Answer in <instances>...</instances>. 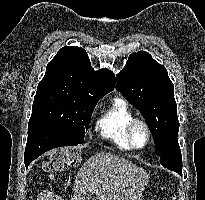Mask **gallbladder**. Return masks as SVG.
Here are the masks:
<instances>
[{"mask_svg":"<svg viewBox=\"0 0 205 200\" xmlns=\"http://www.w3.org/2000/svg\"><path fill=\"white\" fill-rule=\"evenodd\" d=\"M80 200H89V197H82Z\"/></svg>","mask_w":205,"mask_h":200,"instance_id":"bac80fb5","label":"gallbladder"}]
</instances>
